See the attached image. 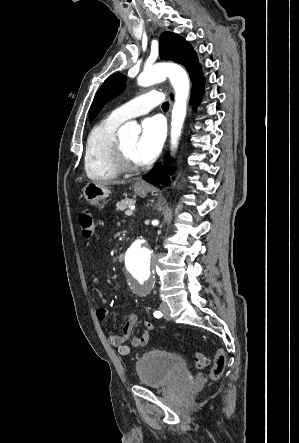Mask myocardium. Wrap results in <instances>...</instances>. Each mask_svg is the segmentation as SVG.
<instances>
[{
	"label": "myocardium",
	"mask_w": 299,
	"mask_h": 443,
	"mask_svg": "<svg viewBox=\"0 0 299 443\" xmlns=\"http://www.w3.org/2000/svg\"><path fill=\"white\" fill-rule=\"evenodd\" d=\"M113 162L119 172H134L142 168V164L135 163L129 158L120 140H117L113 151Z\"/></svg>",
	"instance_id": "obj_1"
}]
</instances>
